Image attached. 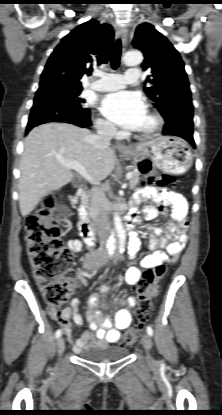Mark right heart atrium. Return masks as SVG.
I'll return each mask as SVG.
<instances>
[{
  "label": "right heart atrium",
  "instance_id": "d8ad5b80",
  "mask_svg": "<svg viewBox=\"0 0 222 415\" xmlns=\"http://www.w3.org/2000/svg\"><path fill=\"white\" fill-rule=\"evenodd\" d=\"M95 125H96L97 130L102 134H114L115 133L114 126L110 122L104 119H101V118L96 119Z\"/></svg>",
  "mask_w": 222,
  "mask_h": 415
}]
</instances>
